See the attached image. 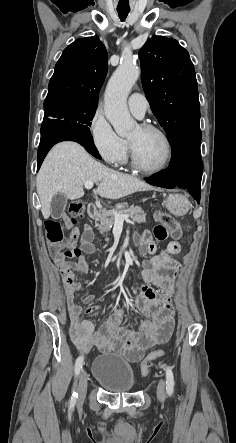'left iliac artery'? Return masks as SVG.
I'll return each mask as SVG.
<instances>
[{"instance_id":"1","label":"left iliac artery","mask_w":236,"mask_h":443,"mask_svg":"<svg viewBox=\"0 0 236 443\" xmlns=\"http://www.w3.org/2000/svg\"><path fill=\"white\" fill-rule=\"evenodd\" d=\"M165 371H166V392L169 396H171L174 391V376L172 368L167 366L165 368Z\"/></svg>"}]
</instances>
